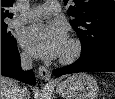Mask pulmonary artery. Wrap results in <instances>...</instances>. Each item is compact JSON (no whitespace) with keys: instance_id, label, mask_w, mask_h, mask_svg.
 Instances as JSON below:
<instances>
[{"instance_id":"1","label":"pulmonary artery","mask_w":115,"mask_h":99,"mask_svg":"<svg viewBox=\"0 0 115 99\" xmlns=\"http://www.w3.org/2000/svg\"><path fill=\"white\" fill-rule=\"evenodd\" d=\"M60 5L56 1H48L45 4L25 11L13 21V24H22L35 21L44 17L54 16L60 13Z\"/></svg>"}]
</instances>
